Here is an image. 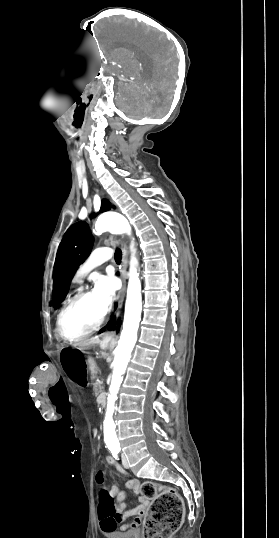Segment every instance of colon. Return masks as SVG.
Here are the masks:
<instances>
[{
  "label": "colon",
  "mask_w": 279,
  "mask_h": 538,
  "mask_svg": "<svg viewBox=\"0 0 279 538\" xmlns=\"http://www.w3.org/2000/svg\"><path fill=\"white\" fill-rule=\"evenodd\" d=\"M98 485L99 516L113 517L116 514L114 500L104 485L102 473L96 474ZM143 498L151 500V505L143 527V538H170L183 521L184 504L178 492L154 482L141 486Z\"/></svg>",
  "instance_id": "colon-1"
}]
</instances>
